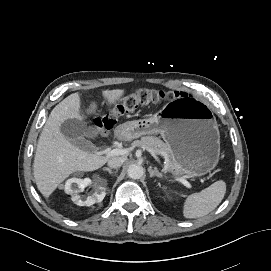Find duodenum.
Listing matches in <instances>:
<instances>
[{
    "instance_id": "duodenum-1",
    "label": "duodenum",
    "mask_w": 271,
    "mask_h": 271,
    "mask_svg": "<svg viewBox=\"0 0 271 271\" xmlns=\"http://www.w3.org/2000/svg\"><path fill=\"white\" fill-rule=\"evenodd\" d=\"M123 136H124V134L121 133V131H119V133L117 134V137L121 138V137H123Z\"/></svg>"
}]
</instances>
